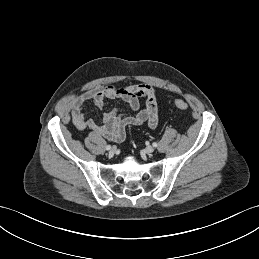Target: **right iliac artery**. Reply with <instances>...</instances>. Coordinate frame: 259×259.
<instances>
[{"label":"right iliac artery","mask_w":259,"mask_h":259,"mask_svg":"<svg viewBox=\"0 0 259 259\" xmlns=\"http://www.w3.org/2000/svg\"><path fill=\"white\" fill-rule=\"evenodd\" d=\"M110 149H111V145H107L106 150H110Z\"/></svg>","instance_id":"right-iliac-artery-1"}]
</instances>
